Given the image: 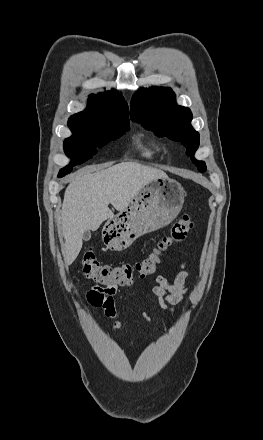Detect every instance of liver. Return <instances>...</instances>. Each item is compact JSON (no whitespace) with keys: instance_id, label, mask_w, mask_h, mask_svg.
I'll return each instance as SVG.
<instances>
[{"instance_id":"6515ba94","label":"liver","mask_w":263,"mask_h":440,"mask_svg":"<svg viewBox=\"0 0 263 440\" xmlns=\"http://www.w3.org/2000/svg\"><path fill=\"white\" fill-rule=\"evenodd\" d=\"M163 177H167L164 171L136 162H122L94 173L85 171L77 175L65 190L60 217L66 265L77 258L83 234L96 231L114 216L109 204L121 212L147 183Z\"/></svg>"}]
</instances>
